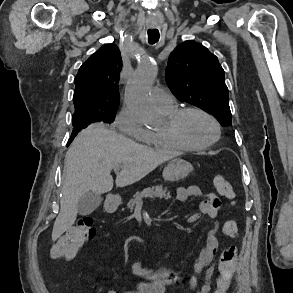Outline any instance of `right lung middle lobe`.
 I'll list each match as a JSON object with an SVG mask.
<instances>
[{
  "instance_id": "obj_1",
  "label": "right lung middle lobe",
  "mask_w": 293,
  "mask_h": 293,
  "mask_svg": "<svg viewBox=\"0 0 293 293\" xmlns=\"http://www.w3.org/2000/svg\"><path fill=\"white\" fill-rule=\"evenodd\" d=\"M116 116V110L112 111H93L86 109H75V113L72 118V125L74 128H86L91 123L106 122L112 123Z\"/></svg>"
}]
</instances>
